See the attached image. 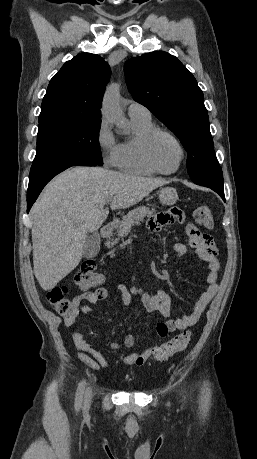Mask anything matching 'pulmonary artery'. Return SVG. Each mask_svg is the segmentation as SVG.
Returning a JSON list of instances; mask_svg holds the SVG:
<instances>
[{
	"instance_id": "obj_1",
	"label": "pulmonary artery",
	"mask_w": 257,
	"mask_h": 459,
	"mask_svg": "<svg viewBox=\"0 0 257 459\" xmlns=\"http://www.w3.org/2000/svg\"><path fill=\"white\" fill-rule=\"evenodd\" d=\"M129 116L151 117L150 111L142 104L132 102L128 107Z\"/></svg>"
}]
</instances>
